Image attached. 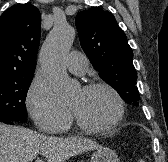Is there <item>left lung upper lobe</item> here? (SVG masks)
I'll use <instances>...</instances> for the list:
<instances>
[{
  "mask_svg": "<svg viewBox=\"0 0 168 162\" xmlns=\"http://www.w3.org/2000/svg\"><path fill=\"white\" fill-rule=\"evenodd\" d=\"M80 44L99 76L128 104L138 106L137 72L127 37L115 17L99 7L79 12L75 19Z\"/></svg>",
  "mask_w": 168,
  "mask_h": 162,
  "instance_id": "left-lung-upper-lobe-1",
  "label": "left lung upper lobe"
}]
</instances>
